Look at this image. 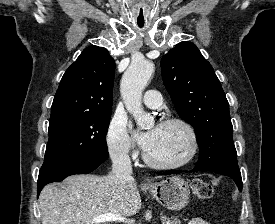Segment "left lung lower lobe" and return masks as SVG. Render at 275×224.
I'll use <instances>...</instances> for the list:
<instances>
[{
    "label": "left lung lower lobe",
    "instance_id": "obj_1",
    "mask_svg": "<svg viewBox=\"0 0 275 224\" xmlns=\"http://www.w3.org/2000/svg\"><path fill=\"white\" fill-rule=\"evenodd\" d=\"M194 170H206L208 171L207 169H205V167L201 166V165H196ZM180 172H168L166 173L165 175H169V174H179ZM222 175H226V176H229L231 177L236 185L238 186L239 190L241 191L242 190V179H241V174H222Z\"/></svg>",
    "mask_w": 275,
    "mask_h": 224
}]
</instances>
